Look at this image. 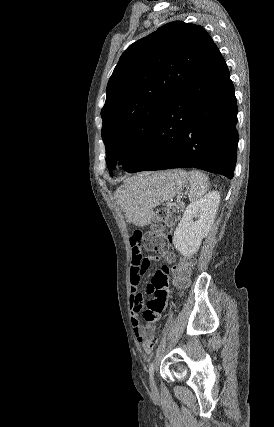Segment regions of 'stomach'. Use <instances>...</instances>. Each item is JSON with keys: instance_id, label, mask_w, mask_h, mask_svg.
<instances>
[{"instance_id": "stomach-1", "label": "stomach", "mask_w": 274, "mask_h": 427, "mask_svg": "<svg viewBox=\"0 0 274 427\" xmlns=\"http://www.w3.org/2000/svg\"><path fill=\"white\" fill-rule=\"evenodd\" d=\"M188 176L184 170H168L157 174H140L119 188V194L126 215L133 223L147 225L153 208L168 202L186 186Z\"/></svg>"}]
</instances>
